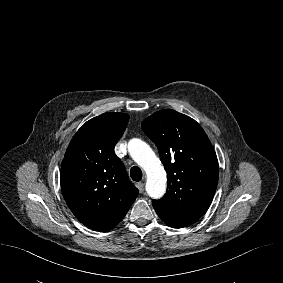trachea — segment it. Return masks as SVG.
<instances>
[{"mask_svg":"<svg viewBox=\"0 0 283 283\" xmlns=\"http://www.w3.org/2000/svg\"><path fill=\"white\" fill-rule=\"evenodd\" d=\"M130 175H131V178L138 182L142 179V171L139 167L137 166H133L131 169H130Z\"/></svg>","mask_w":283,"mask_h":283,"instance_id":"trachea-1","label":"trachea"}]
</instances>
